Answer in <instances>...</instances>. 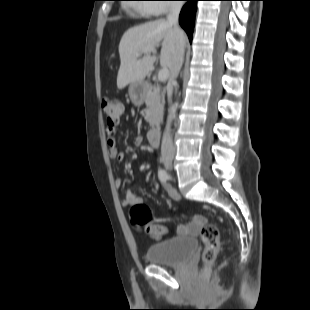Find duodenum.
Returning <instances> with one entry per match:
<instances>
[{"label": "duodenum", "mask_w": 310, "mask_h": 310, "mask_svg": "<svg viewBox=\"0 0 310 310\" xmlns=\"http://www.w3.org/2000/svg\"><path fill=\"white\" fill-rule=\"evenodd\" d=\"M160 136H161L160 128H154L150 130L148 138L149 143L151 144L152 147H157L159 145Z\"/></svg>", "instance_id": "duodenum-1"}]
</instances>
